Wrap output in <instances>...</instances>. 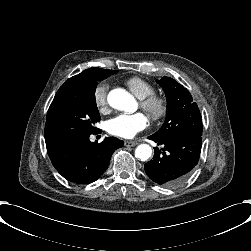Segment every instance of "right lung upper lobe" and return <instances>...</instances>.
Masks as SVG:
<instances>
[{
	"instance_id": "cb5924a9",
	"label": "right lung upper lobe",
	"mask_w": 251,
	"mask_h": 251,
	"mask_svg": "<svg viewBox=\"0 0 251 251\" xmlns=\"http://www.w3.org/2000/svg\"><path fill=\"white\" fill-rule=\"evenodd\" d=\"M96 68V67H94ZM94 68H90V69H86L83 72H81L79 75L73 76L71 78H69L61 87L60 89L72 86L73 84H76L78 82V80L80 79V77L88 72L91 71V69ZM45 142H46V147H52L54 145H57L58 143H60V141H58L56 138L52 137V135L50 134V132L48 131V129H45Z\"/></svg>"
}]
</instances>
